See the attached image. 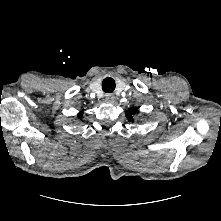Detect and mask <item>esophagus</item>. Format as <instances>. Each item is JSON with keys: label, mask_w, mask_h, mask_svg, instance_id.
I'll use <instances>...</instances> for the list:
<instances>
[{"label": "esophagus", "mask_w": 221, "mask_h": 221, "mask_svg": "<svg viewBox=\"0 0 221 221\" xmlns=\"http://www.w3.org/2000/svg\"><path fill=\"white\" fill-rule=\"evenodd\" d=\"M114 99H115V96L113 94H107L106 95V100L113 101Z\"/></svg>", "instance_id": "obj_1"}]
</instances>
